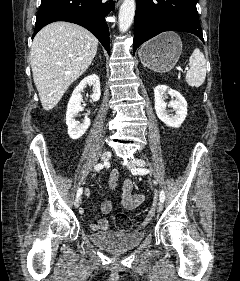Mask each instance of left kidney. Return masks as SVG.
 <instances>
[{"label":"left kidney","mask_w":240,"mask_h":281,"mask_svg":"<svg viewBox=\"0 0 240 281\" xmlns=\"http://www.w3.org/2000/svg\"><path fill=\"white\" fill-rule=\"evenodd\" d=\"M168 95L172 99L169 103L165 102ZM155 111L158 118L168 127L179 128L187 116V102L178 92L166 85H158L154 89ZM167 107L173 108L175 115L168 114Z\"/></svg>","instance_id":"5707ae66"}]
</instances>
